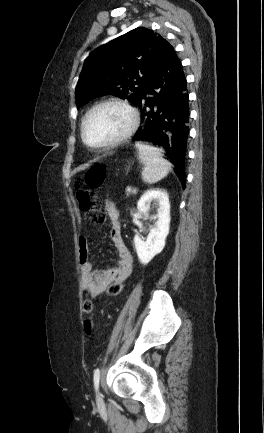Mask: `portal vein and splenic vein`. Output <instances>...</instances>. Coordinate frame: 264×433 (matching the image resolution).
I'll return each instance as SVG.
<instances>
[{"mask_svg":"<svg viewBox=\"0 0 264 433\" xmlns=\"http://www.w3.org/2000/svg\"><path fill=\"white\" fill-rule=\"evenodd\" d=\"M126 192H127V193H131V192H134V191L132 190V188L127 187V188H126Z\"/></svg>","mask_w":264,"mask_h":433,"instance_id":"1","label":"portal vein and splenic vein"}]
</instances>
